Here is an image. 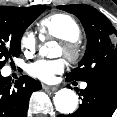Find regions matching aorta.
<instances>
[{
  "label": "aorta",
  "mask_w": 117,
  "mask_h": 117,
  "mask_svg": "<svg viewBox=\"0 0 117 117\" xmlns=\"http://www.w3.org/2000/svg\"><path fill=\"white\" fill-rule=\"evenodd\" d=\"M55 45L56 43L53 41L48 42L46 45L40 48V55L48 56L50 58L55 57V55L50 53V49ZM53 100L57 111H59L62 114L73 113L78 105V96L73 90L68 88H63L56 92Z\"/></svg>",
  "instance_id": "aorta-1"
}]
</instances>
